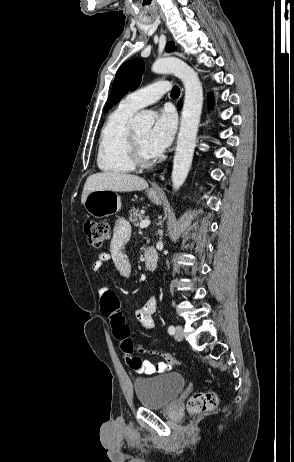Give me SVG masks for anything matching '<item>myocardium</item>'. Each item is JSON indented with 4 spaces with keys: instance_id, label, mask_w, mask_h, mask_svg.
Returning <instances> with one entry per match:
<instances>
[{
    "instance_id": "obj_1",
    "label": "myocardium",
    "mask_w": 294,
    "mask_h": 462,
    "mask_svg": "<svg viewBox=\"0 0 294 462\" xmlns=\"http://www.w3.org/2000/svg\"><path fill=\"white\" fill-rule=\"evenodd\" d=\"M129 156L134 167L146 168L151 166L156 160V156L144 154L141 145L133 129L129 131Z\"/></svg>"
}]
</instances>
